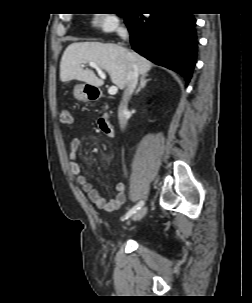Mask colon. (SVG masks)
Listing matches in <instances>:
<instances>
[{
    "mask_svg": "<svg viewBox=\"0 0 252 303\" xmlns=\"http://www.w3.org/2000/svg\"><path fill=\"white\" fill-rule=\"evenodd\" d=\"M60 121L62 124H72L73 123V117L71 112L68 109H64L60 113Z\"/></svg>",
    "mask_w": 252,
    "mask_h": 303,
    "instance_id": "1",
    "label": "colon"
}]
</instances>
